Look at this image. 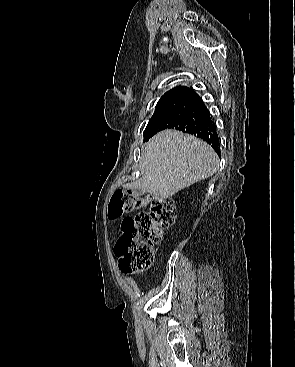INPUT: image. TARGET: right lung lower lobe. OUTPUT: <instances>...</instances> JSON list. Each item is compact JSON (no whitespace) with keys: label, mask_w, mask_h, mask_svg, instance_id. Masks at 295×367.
Segmentation results:
<instances>
[{"label":"right lung lower lobe","mask_w":295,"mask_h":367,"mask_svg":"<svg viewBox=\"0 0 295 367\" xmlns=\"http://www.w3.org/2000/svg\"><path fill=\"white\" fill-rule=\"evenodd\" d=\"M164 129H176L195 135L211 145L216 153L220 155V140L216 132V126L212 122L203 100L196 93H193L160 123L151 135L145 137V140Z\"/></svg>","instance_id":"98d812e1"}]
</instances>
